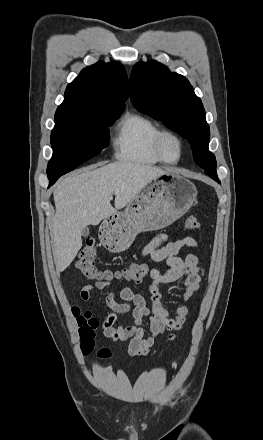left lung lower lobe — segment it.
Segmentation results:
<instances>
[{"mask_svg":"<svg viewBox=\"0 0 263 440\" xmlns=\"http://www.w3.org/2000/svg\"><path fill=\"white\" fill-rule=\"evenodd\" d=\"M216 182L220 183L218 178H213Z\"/></svg>","mask_w":263,"mask_h":440,"instance_id":"1","label":"left lung lower lobe"}]
</instances>
